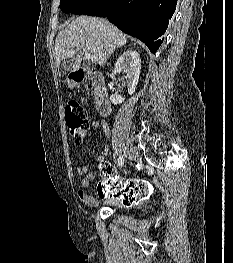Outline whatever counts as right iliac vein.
I'll use <instances>...</instances> for the list:
<instances>
[{"label":"right iliac vein","mask_w":233,"mask_h":263,"mask_svg":"<svg viewBox=\"0 0 233 263\" xmlns=\"http://www.w3.org/2000/svg\"><path fill=\"white\" fill-rule=\"evenodd\" d=\"M128 159L130 160V161H133V160H135L136 159V157H137V151H136V149H134V148H130L129 150H128Z\"/></svg>","instance_id":"right-iliac-vein-1"}]
</instances>
